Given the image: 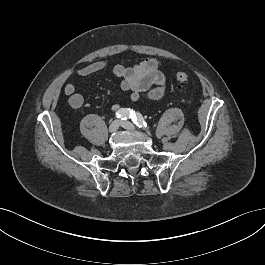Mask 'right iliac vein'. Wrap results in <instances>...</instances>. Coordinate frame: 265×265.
I'll return each instance as SVG.
<instances>
[{
	"label": "right iliac vein",
	"mask_w": 265,
	"mask_h": 265,
	"mask_svg": "<svg viewBox=\"0 0 265 265\" xmlns=\"http://www.w3.org/2000/svg\"><path fill=\"white\" fill-rule=\"evenodd\" d=\"M119 121L118 120H114L110 125H109V132L110 133H114L118 130L119 128Z\"/></svg>",
	"instance_id": "1"
}]
</instances>
